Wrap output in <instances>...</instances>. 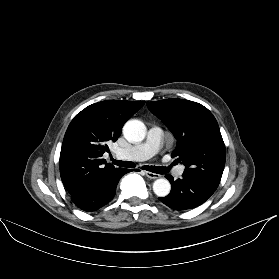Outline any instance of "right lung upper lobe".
I'll list each match as a JSON object with an SVG mask.
<instances>
[{
    "label": "right lung upper lobe",
    "mask_w": 279,
    "mask_h": 279,
    "mask_svg": "<svg viewBox=\"0 0 279 279\" xmlns=\"http://www.w3.org/2000/svg\"><path fill=\"white\" fill-rule=\"evenodd\" d=\"M145 101L106 100L86 107L71 121L60 153V175L70 195L83 193L122 171L102 158L125 122Z\"/></svg>",
    "instance_id": "cb5924a9"
}]
</instances>
